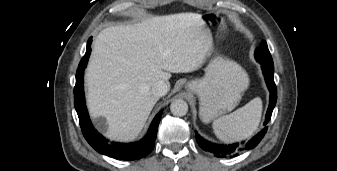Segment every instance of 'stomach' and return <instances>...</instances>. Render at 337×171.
<instances>
[{
	"label": "stomach",
	"mask_w": 337,
	"mask_h": 171,
	"mask_svg": "<svg viewBox=\"0 0 337 171\" xmlns=\"http://www.w3.org/2000/svg\"><path fill=\"white\" fill-rule=\"evenodd\" d=\"M205 24L217 27L220 34L227 31L221 17L202 16ZM249 85V78L237 63L222 57L214 58L206 68L205 76L191 80L186 89L199 97V116L204 123L233 110Z\"/></svg>",
	"instance_id": "1"
}]
</instances>
